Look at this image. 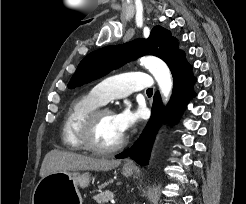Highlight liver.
<instances>
[{"label":"liver","instance_id":"6515ba94","mask_svg":"<svg viewBox=\"0 0 246 204\" xmlns=\"http://www.w3.org/2000/svg\"><path fill=\"white\" fill-rule=\"evenodd\" d=\"M121 164V160L101 159L58 149L48 152L42 162L40 177L56 172L91 170L109 171Z\"/></svg>","mask_w":246,"mask_h":204}]
</instances>
